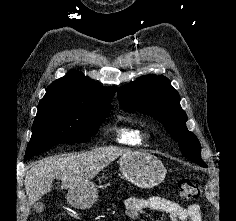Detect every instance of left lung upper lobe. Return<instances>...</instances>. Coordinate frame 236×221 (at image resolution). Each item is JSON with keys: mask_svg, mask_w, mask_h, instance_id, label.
<instances>
[{"mask_svg": "<svg viewBox=\"0 0 236 221\" xmlns=\"http://www.w3.org/2000/svg\"><path fill=\"white\" fill-rule=\"evenodd\" d=\"M118 99L127 112H142L157 118L176 140L185 156L202 167L201 146L186 127L187 115L180 106V96L165 76L145 75L119 89Z\"/></svg>", "mask_w": 236, "mask_h": 221, "instance_id": "5c2ea615", "label": "left lung upper lobe"}]
</instances>
